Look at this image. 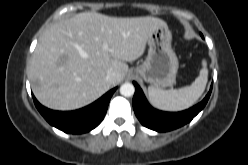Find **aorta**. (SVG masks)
Wrapping results in <instances>:
<instances>
[{
	"mask_svg": "<svg viewBox=\"0 0 248 165\" xmlns=\"http://www.w3.org/2000/svg\"><path fill=\"white\" fill-rule=\"evenodd\" d=\"M135 92V87L131 83H124L120 87V94L125 97H131Z\"/></svg>",
	"mask_w": 248,
	"mask_h": 165,
	"instance_id": "obj_1",
	"label": "aorta"
}]
</instances>
